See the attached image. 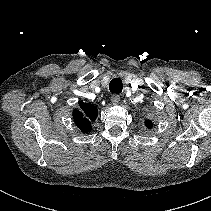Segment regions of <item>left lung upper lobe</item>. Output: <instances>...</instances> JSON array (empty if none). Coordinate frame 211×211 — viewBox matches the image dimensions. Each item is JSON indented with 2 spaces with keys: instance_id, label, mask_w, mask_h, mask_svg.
<instances>
[{
  "instance_id": "5c2ea615",
  "label": "left lung upper lobe",
  "mask_w": 211,
  "mask_h": 211,
  "mask_svg": "<svg viewBox=\"0 0 211 211\" xmlns=\"http://www.w3.org/2000/svg\"><path fill=\"white\" fill-rule=\"evenodd\" d=\"M146 126H147L148 128L152 127V122L149 121V120H147V121H146Z\"/></svg>"
}]
</instances>
